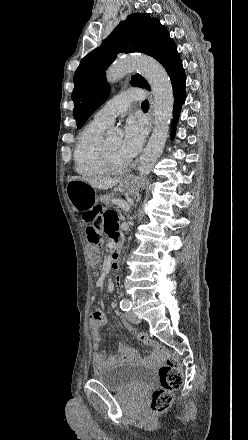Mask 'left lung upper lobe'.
Here are the masks:
<instances>
[{
  "label": "left lung upper lobe",
  "instance_id": "left-lung-upper-lobe-1",
  "mask_svg": "<svg viewBox=\"0 0 248 440\" xmlns=\"http://www.w3.org/2000/svg\"><path fill=\"white\" fill-rule=\"evenodd\" d=\"M131 52H142L155 58L166 69L170 79L185 75L177 47L166 28L148 14L133 13L119 23L101 46L81 60L74 74L72 100L77 128L83 126L109 95L105 70L118 53ZM131 85L150 89L139 74L132 77Z\"/></svg>",
  "mask_w": 248,
  "mask_h": 440
}]
</instances>
